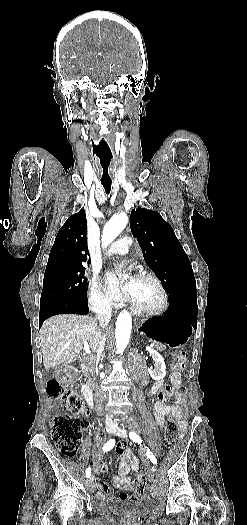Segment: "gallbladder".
<instances>
[{
    "label": "gallbladder",
    "instance_id": "gallbladder-1",
    "mask_svg": "<svg viewBox=\"0 0 247 525\" xmlns=\"http://www.w3.org/2000/svg\"><path fill=\"white\" fill-rule=\"evenodd\" d=\"M43 372L44 379L50 381L54 379V377H57L59 369H57V367L47 366L43 369Z\"/></svg>",
    "mask_w": 247,
    "mask_h": 525
}]
</instances>
